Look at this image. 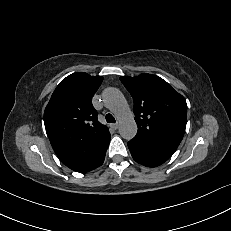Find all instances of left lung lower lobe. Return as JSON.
Masks as SVG:
<instances>
[{"mask_svg":"<svg viewBox=\"0 0 231 231\" xmlns=\"http://www.w3.org/2000/svg\"><path fill=\"white\" fill-rule=\"evenodd\" d=\"M128 148L133 159L147 167H156L163 164L174 153V151L150 146L135 138L128 142Z\"/></svg>","mask_w":231,"mask_h":231,"instance_id":"left-lung-lower-lobe-1","label":"left lung lower lobe"}]
</instances>
